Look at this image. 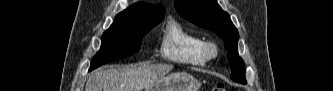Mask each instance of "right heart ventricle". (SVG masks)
Instances as JSON below:
<instances>
[{
  "mask_svg": "<svg viewBox=\"0 0 333 91\" xmlns=\"http://www.w3.org/2000/svg\"><path fill=\"white\" fill-rule=\"evenodd\" d=\"M204 43L202 36L187 30L181 23L171 20L167 23L162 35L161 54L172 62L202 67L207 62L203 52Z\"/></svg>",
  "mask_w": 333,
  "mask_h": 91,
  "instance_id": "right-heart-ventricle-1",
  "label": "right heart ventricle"
}]
</instances>
